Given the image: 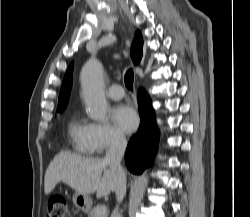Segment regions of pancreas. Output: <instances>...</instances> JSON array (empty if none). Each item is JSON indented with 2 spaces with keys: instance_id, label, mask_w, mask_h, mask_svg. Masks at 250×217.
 Returning <instances> with one entry per match:
<instances>
[{
  "instance_id": "obj_1",
  "label": "pancreas",
  "mask_w": 250,
  "mask_h": 217,
  "mask_svg": "<svg viewBox=\"0 0 250 217\" xmlns=\"http://www.w3.org/2000/svg\"><path fill=\"white\" fill-rule=\"evenodd\" d=\"M99 207H100V205H97V206L93 207V208L90 210V212L88 213V217H108V214H107V213H105V214H103V215L97 216L96 212H97V210H98Z\"/></svg>"
}]
</instances>
